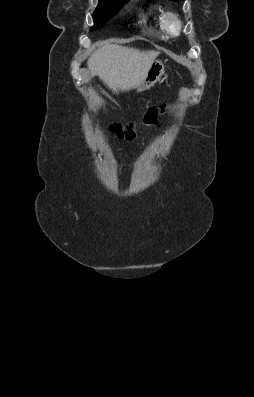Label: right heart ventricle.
<instances>
[{"instance_id":"obj_1","label":"right heart ventricle","mask_w":254,"mask_h":397,"mask_svg":"<svg viewBox=\"0 0 254 397\" xmlns=\"http://www.w3.org/2000/svg\"><path fill=\"white\" fill-rule=\"evenodd\" d=\"M163 13H157L153 15V19L156 23V26L159 28L161 31H165L164 26H163Z\"/></svg>"}]
</instances>
